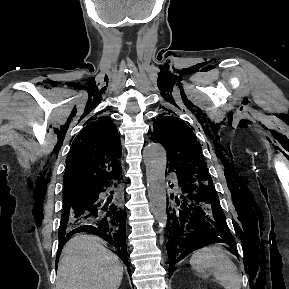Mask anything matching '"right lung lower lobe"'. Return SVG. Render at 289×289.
<instances>
[{"instance_id": "98d812e1", "label": "right lung lower lobe", "mask_w": 289, "mask_h": 289, "mask_svg": "<svg viewBox=\"0 0 289 289\" xmlns=\"http://www.w3.org/2000/svg\"><path fill=\"white\" fill-rule=\"evenodd\" d=\"M118 179V178H117ZM110 181L103 182L85 192V197L77 204L63 208L58 238L59 248L56 266L64 244L76 233L88 232L103 238L108 242L113 252L129 269L126 247V211L115 201H102L99 194L110 186Z\"/></svg>"}]
</instances>
